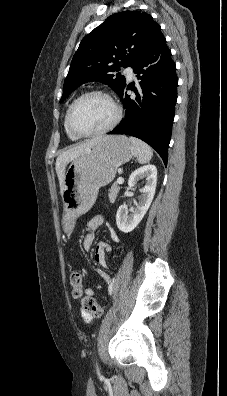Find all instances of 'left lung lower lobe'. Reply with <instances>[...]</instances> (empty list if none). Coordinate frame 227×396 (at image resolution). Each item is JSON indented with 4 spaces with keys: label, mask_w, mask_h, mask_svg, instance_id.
Segmentation results:
<instances>
[{
    "label": "left lung lower lobe",
    "mask_w": 227,
    "mask_h": 396,
    "mask_svg": "<svg viewBox=\"0 0 227 396\" xmlns=\"http://www.w3.org/2000/svg\"><path fill=\"white\" fill-rule=\"evenodd\" d=\"M132 67L141 80L140 90L131 88L136 98L127 94L129 86L119 94L126 108L125 117L108 134H126L145 141L157 151L166 165L178 78L165 37L152 44Z\"/></svg>",
    "instance_id": "obj_1"
}]
</instances>
